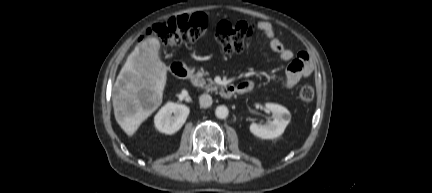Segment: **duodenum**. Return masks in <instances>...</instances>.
Segmentation results:
<instances>
[{"label":"duodenum","instance_id":"1","mask_svg":"<svg viewBox=\"0 0 432 193\" xmlns=\"http://www.w3.org/2000/svg\"><path fill=\"white\" fill-rule=\"evenodd\" d=\"M170 68L173 74L179 79L187 80L190 79L193 75L192 70L188 66L180 62H174ZM236 92H238V88L235 85H226L221 87L220 90V94L223 98H230Z\"/></svg>","mask_w":432,"mask_h":193}]
</instances>
